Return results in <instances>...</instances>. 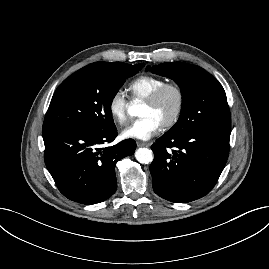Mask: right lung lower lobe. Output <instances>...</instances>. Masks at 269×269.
<instances>
[{
    "label": "right lung lower lobe",
    "mask_w": 269,
    "mask_h": 269,
    "mask_svg": "<svg viewBox=\"0 0 269 269\" xmlns=\"http://www.w3.org/2000/svg\"><path fill=\"white\" fill-rule=\"evenodd\" d=\"M117 136L116 127L106 132L61 126L43 130L45 164L59 191L81 204L108 199L117 189L115 164L132 155V139L102 148Z\"/></svg>",
    "instance_id": "1"
}]
</instances>
